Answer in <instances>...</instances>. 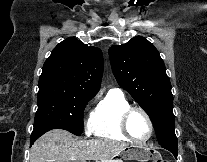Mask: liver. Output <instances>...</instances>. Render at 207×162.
Listing matches in <instances>:
<instances>
[{"instance_id":"6515ba94","label":"liver","mask_w":207,"mask_h":162,"mask_svg":"<svg viewBox=\"0 0 207 162\" xmlns=\"http://www.w3.org/2000/svg\"><path fill=\"white\" fill-rule=\"evenodd\" d=\"M127 144L110 139H76L62 129L50 130L33 144L30 162H112Z\"/></svg>"}]
</instances>
